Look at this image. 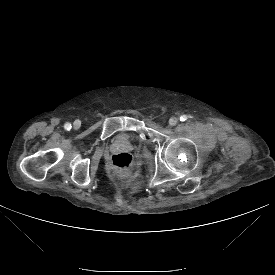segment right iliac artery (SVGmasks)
Returning <instances> with one entry per match:
<instances>
[{"instance_id": "82829eb1", "label": "right iliac artery", "mask_w": 275, "mask_h": 275, "mask_svg": "<svg viewBox=\"0 0 275 275\" xmlns=\"http://www.w3.org/2000/svg\"><path fill=\"white\" fill-rule=\"evenodd\" d=\"M64 128H65V130L69 131V130L72 128V126H71L70 123H66V124L64 125Z\"/></svg>"}]
</instances>
